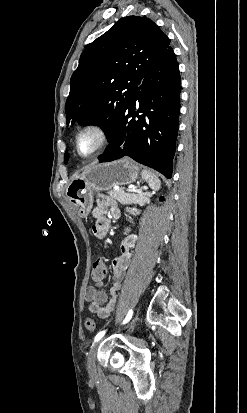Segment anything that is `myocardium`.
I'll use <instances>...</instances> for the list:
<instances>
[{
  "instance_id": "myocardium-1",
  "label": "myocardium",
  "mask_w": 247,
  "mask_h": 413,
  "mask_svg": "<svg viewBox=\"0 0 247 413\" xmlns=\"http://www.w3.org/2000/svg\"><path fill=\"white\" fill-rule=\"evenodd\" d=\"M87 132L97 133L99 135L100 140H99L98 145L89 154H84L80 147V139L82 135ZM110 141H111V132L108 128H106L105 126L101 124L91 123V124H87L86 126L81 128L77 132L76 137H75V147H76L77 153L81 157L85 159H91L97 156L110 143Z\"/></svg>"
}]
</instances>
